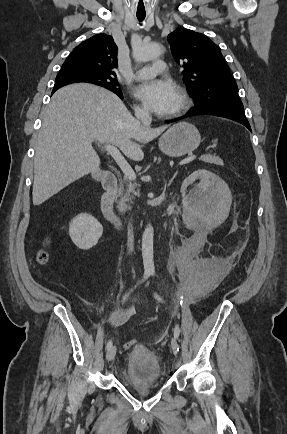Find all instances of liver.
I'll use <instances>...</instances> for the list:
<instances>
[{
	"instance_id": "obj_1",
	"label": "liver",
	"mask_w": 287,
	"mask_h": 434,
	"mask_svg": "<svg viewBox=\"0 0 287 434\" xmlns=\"http://www.w3.org/2000/svg\"><path fill=\"white\" fill-rule=\"evenodd\" d=\"M164 129L144 126L117 95L104 88L90 84L62 87L42 115L34 157L33 204H42L99 169L94 140L116 145L129 159L139 161L144 154L133 139L145 144Z\"/></svg>"
}]
</instances>
